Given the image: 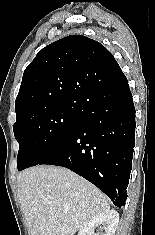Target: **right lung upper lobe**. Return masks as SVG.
Instances as JSON below:
<instances>
[{"mask_svg":"<svg viewBox=\"0 0 155 235\" xmlns=\"http://www.w3.org/2000/svg\"><path fill=\"white\" fill-rule=\"evenodd\" d=\"M123 74L99 42L70 35L38 52L24 71L15 102L16 117L47 105L79 106L99 84Z\"/></svg>","mask_w":155,"mask_h":235,"instance_id":"1","label":"right lung upper lobe"}]
</instances>
